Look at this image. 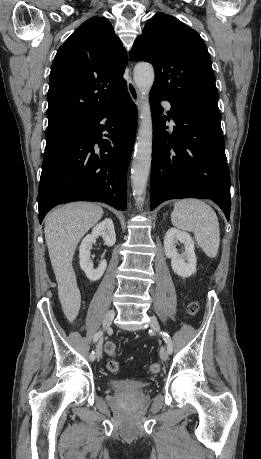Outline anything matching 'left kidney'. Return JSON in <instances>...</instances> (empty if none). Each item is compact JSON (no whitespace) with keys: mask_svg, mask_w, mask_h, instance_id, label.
Wrapping results in <instances>:
<instances>
[{"mask_svg":"<svg viewBox=\"0 0 261 459\" xmlns=\"http://www.w3.org/2000/svg\"><path fill=\"white\" fill-rule=\"evenodd\" d=\"M184 245L185 251L179 254L176 244ZM194 241L190 234L176 228H170L164 237V251L167 258L171 259L172 270L185 278L196 273V256Z\"/></svg>","mask_w":261,"mask_h":459,"instance_id":"5707ae66","label":"left kidney"}]
</instances>
